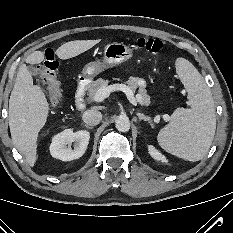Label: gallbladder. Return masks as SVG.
<instances>
[{
  "instance_id": "obj_1",
  "label": "gallbladder",
  "mask_w": 233,
  "mask_h": 233,
  "mask_svg": "<svg viewBox=\"0 0 233 233\" xmlns=\"http://www.w3.org/2000/svg\"><path fill=\"white\" fill-rule=\"evenodd\" d=\"M28 71L31 75L33 76H37L38 75V70L37 68L33 67V66H28Z\"/></svg>"
}]
</instances>
